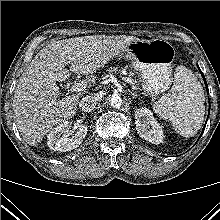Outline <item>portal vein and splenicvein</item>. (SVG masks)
<instances>
[{
    "mask_svg": "<svg viewBox=\"0 0 220 220\" xmlns=\"http://www.w3.org/2000/svg\"><path fill=\"white\" fill-rule=\"evenodd\" d=\"M125 81L127 83L131 82L129 79H125ZM87 83L82 81V82H79V83H74L71 88H70V91L71 92H81V91H85L87 90Z\"/></svg>",
    "mask_w": 220,
    "mask_h": 220,
    "instance_id": "1",
    "label": "portal vein and splenic vein"
}]
</instances>
